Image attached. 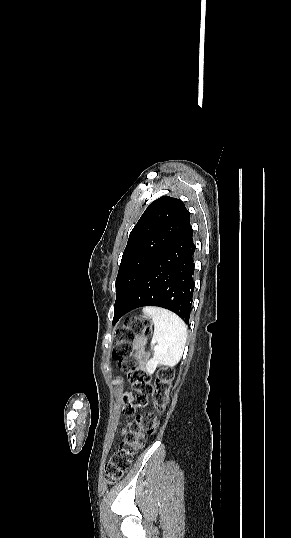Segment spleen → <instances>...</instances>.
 I'll use <instances>...</instances> for the list:
<instances>
[{"label": "spleen", "instance_id": "obj_1", "mask_svg": "<svg viewBox=\"0 0 291 538\" xmlns=\"http://www.w3.org/2000/svg\"><path fill=\"white\" fill-rule=\"evenodd\" d=\"M143 312L154 323L151 348L153 358L147 363V371L153 373L158 365L174 366L182 358L187 338V326L173 312L158 308L145 307Z\"/></svg>", "mask_w": 291, "mask_h": 538}]
</instances>
